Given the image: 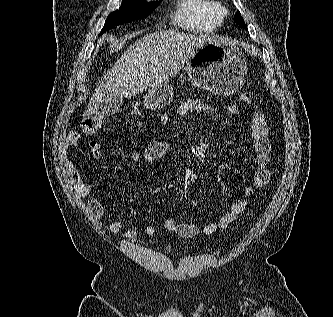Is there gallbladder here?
Segmentation results:
<instances>
[{"mask_svg": "<svg viewBox=\"0 0 333 317\" xmlns=\"http://www.w3.org/2000/svg\"><path fill=\"white\" fill-rule=\"evenodd\" d=\"M123 103L120 97H111L105 99L96 111V114L101 117H108L118 113Z\"/></svg>", "mask_w": 333, "mask_h": 317, "instance_id": "gallbladder-1", "label": "gallbladder"}]
</instances>
